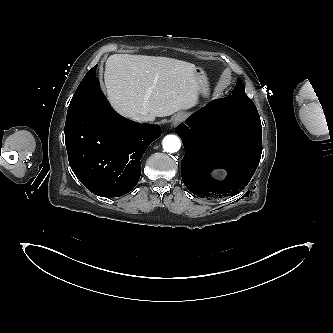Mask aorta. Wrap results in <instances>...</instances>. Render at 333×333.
Returning <instances> with one entry per match:
<instances>
[{
  "label": "aorta",
  "mask_w": 333,
  "mask_h": 333,
  "mask_svg": "<svg viewBox=\"0 0 333 333\" xmlns=\"http://www.w3.org/2000/svg\"><path fill=\"white\" fill-rule=\"evenodd\" d=\"M181 147L180 139L176 135H167L163 139V148L166 152L175 153Z\"/></svg>",
  "instance_id": "obj_1"
}]
</instances>
